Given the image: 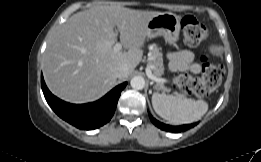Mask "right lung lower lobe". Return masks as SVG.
Masks as SVG:
<instances>
[{
	"mask_svg": "<svg viewBox=\"0 0 261 162\" xmlns=\"http://www.w3.org/2000/svg\"><path fill=\"white\" fill-rule=\"evenodd\" d=\"M126 85L127 82L116 86L96 102L76 105L64 102L54 96L47 88L41 75L42 91L53 111L71 125L85 130L99 128L110 121L115 112L121 91Z\"/></svg>",
	"mask_w": 261,
	"mask_h": 162,
	"instance_id": "right-lung-lower-lobe-1",
	"label": "right lung lower lobe"
}]
</instances>
